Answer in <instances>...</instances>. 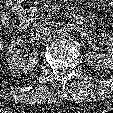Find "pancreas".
<instances>
[{
	"instance_id": "obj_1",
	"label": "pancreas",
	"mask_w": 113,
	"mask_h": 113,
	"mask_svg": "<svg viewBox=\"0 0 113 113\" xmlns=\"http://www.w3.org/2000/svg\"><path fill=\"white\" fill-rule=\"evenodd\" d=\"M31 15H32V22L34 24H37V23H40V22H43V21L47 20V16H45L44 13L38 14L36 9H32V14Z\"/></svg>"
}]
</instances>
